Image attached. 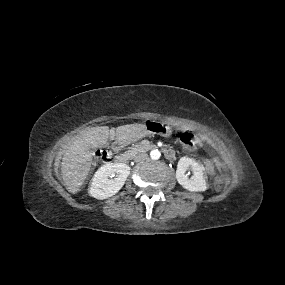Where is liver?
<instances>
[{
  "label": "liver",
  "mask_w": 285,
  "mask_h": 285,
  "mask_svg": "<svg viewBox=\"0 0 285 285\" xmlns=\"http://www.w3.org/2000/svg\"><path fill=\"white\" fill-rule=\"evenodd\" d=\"M145 124H127L116 129L108 126L91 127L78 135L68 146L61 162V175L66 188L72 194L80 191L87 178L92 162L90 148L100 147L107 143L109 136L118 140H132L145 132Z\"/></svg>",
  "instance_id": "obj_1"
}]
</instances>
